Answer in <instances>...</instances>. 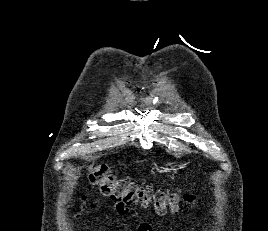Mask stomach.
<instances>
[{"instance_id":"stomach-1","label":"stomach","mask_w":268,"mask_h":231,"mask_svg":"<svg viewBox=\"0 0 268 231\" xmlns=\"http://www.w3.org/2000/svg\"><path fill=\"white\" fill-rule=\"evenodd\" d=\"M186 163L168 162L166 167H170V170H178L186 167Z\"/></svg>"}]
</instances>
